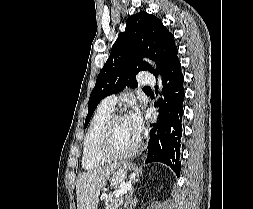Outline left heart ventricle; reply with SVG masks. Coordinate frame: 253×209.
<instances>
[{
	"label": "left heart ventricle",
	"mask_w": 253,
	"mask_h": 209,
	"mask_svg": "<svg viewBox=\"0 0 253 209\" xmlns=\"http://www.w3.org/2000/svg\"><path fill=\"white\" fill-rule=\"evenodd\" d=\"M138 136L133 132L127 118L118 120L112 127L110 150L114 153H125L132 149Z\"/></svg>",
	"instance_id": "1"
}]
</instances>
